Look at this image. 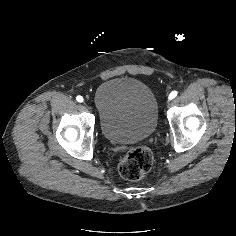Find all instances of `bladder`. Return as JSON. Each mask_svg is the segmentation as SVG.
I'll return each instance as SVG.
<instances>
[{
	"label": "bladder",
	"instance_id": "obj_1",
	"mask_svg": "<svg viewBox=\"0 0 236 236\" xmlns=\"http://www.w3.org/2000/svg\"><path fill=\"white\" fill-rule=\"evenodd\" d=\"M94 103L102 135L116 144H131L153 134L158 122V102L145 83L114 78L96 91Z\"/></svg>",
	"mask_w": 236,
	"mask_h": 236
}]
</instances>
